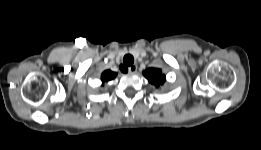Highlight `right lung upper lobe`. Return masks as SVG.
Instances as JSON below:
<instances>
[{"mask_svg": "<svg viewBox=\"0 0 261 150\" xmlns=\"http://www.w3.org/2000/svg\"><path fill=\"white\" fill-rule=\"evenodd\" d=\"M116 75H117L116 73H114L110 70H107V71L102 73L101 80L104 83L105 81L107 82V81L114 79L116 77Z\"/></svg>", "mask_w": 261, "mask_h": 150, "instance_id": "obj_1", "label": "right lung upper lobe"}]
</instances>
